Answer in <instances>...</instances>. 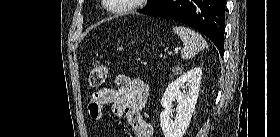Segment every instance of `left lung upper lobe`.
<instances>
[{"mask_svg":"<svg viewBox=\"0 0 280 137\" xmlns=\"http://www.w3.org/2000/svg\"><path fill=\"white\" fill-rule=\"evenodd\" d=\"M163 0H153L151 3H149L144 9L139 10V12L144 13L145 11L153 9L155 6L160 4Z\"/></svg>","mask_w":280,"mask_h":137,"instance_id":"5c2ea615","label":"left lung upper lobe"}]
</instances>
